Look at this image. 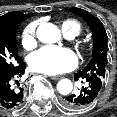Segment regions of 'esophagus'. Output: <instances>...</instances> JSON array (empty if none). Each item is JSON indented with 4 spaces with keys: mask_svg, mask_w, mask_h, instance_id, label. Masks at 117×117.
I'll use <instances>...</instances> for the list:
<instances>
[{
    "mask_svg": "<svg viewBox=\"0 0 117 117\" xmlns=\"http://www.w3.org/2000/svg\"><path fill=\"white\" fill-rule=\"evenodd\" d=\"M50 78L53 80H59L61 79V76H50Z\"/></svg>",
    "mask_w": 117,
    "mask_h": 117,
    "instance_id": "1",
    "label": "esophagus"
}]
</instances>
